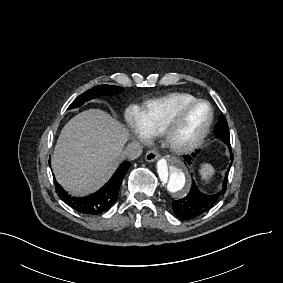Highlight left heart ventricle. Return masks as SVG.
<instances>
[{
	"label": "left heart ventricle",
	"mask_w": 283,
	"mask_h": 283,
	"mask_svg": "<svg viewBox=\"0 0 283 283\" xmlns=\"http://www.w3.org/2000/svg\"><path fill=\"white\" fill-rule=\"evenodd\" d=\"M208 110L204 105L192 106L188 109L170 106L167 111L168 131L174 144L182 145L191 141L204 125Z\"/></svg>",
	"instance_id": "b2bd125f"
}]
</instances>
